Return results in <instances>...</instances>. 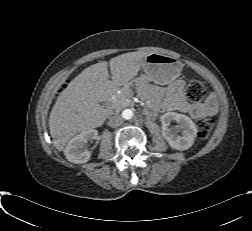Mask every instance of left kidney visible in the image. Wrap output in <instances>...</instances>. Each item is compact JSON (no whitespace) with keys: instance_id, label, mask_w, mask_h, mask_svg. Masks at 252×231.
Wrapping results in <instances>:
<instances>
[{"instance_id":"5707ae66","label":"left kidney","mask_w":252,"mask_h":231,"mask_svg":"<svg viewBox=\"0 0 252 231\" xmlns=\"http://www.w3.org/2000/svg\"><path fill=\"white\" fill-rule=\"evenodd\" d=\"M166 118L179 123L182 130V136L176 133H169L166 137L170 147L176 150H186L190 148L197 136V127L195 123L186 115L179 113H167Z\"/></svg>"}]
</instances>
